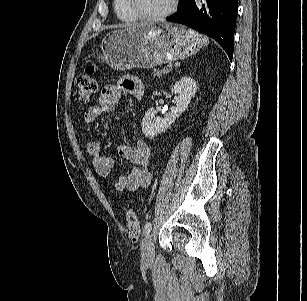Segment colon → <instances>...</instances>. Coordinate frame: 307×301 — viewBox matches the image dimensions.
<instances>
[{
	"instance_id": "colon-1",
	"label": "colon",
	"mask_w": 307,
	"mask_h": 301,
	"mask_svg": "<svg viewBox=\"0 0 307 301\" xmlns=\"http://www.w3.org/2000/svg\"><path fill=\"white\" fill-rule=\"evenodd\" d=\"M95 71L96 68L94 66H88L85 69V73L77 78V96L82 104H87L96 95L98 82L94 77ZM125 215L128 224L129 234L131 236H138L140 228L135 212L131 208H127L125 211Z\"/></svg>"
}]
</instances>
